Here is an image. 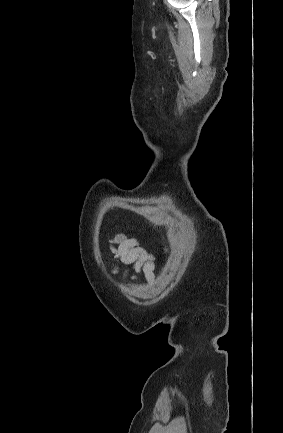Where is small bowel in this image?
<instances>
[{"instance_id":"c3829d8e","label":"small bowel","mask_w":283,"mask_h":433,"mask_svg":"<svg viewBox=\"0 0 283 433\" xmlns=\"http://www.w3.org/2000/svg\"><path fill=\"white\" fill-rule=\"evenodd\" d=\"M111 251L115 261L119 264L132 266L136 279L138 275L143 276L149 284L154 279V257L147 250L140 246L135 238H129L125 235H118L111 241ZM117 268L114 269V272Z\"/></svg>"}]
</instances>
